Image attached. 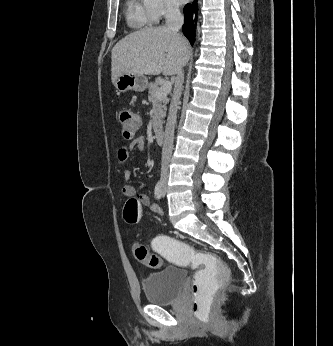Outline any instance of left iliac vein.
<instances>
[{
    "instance_id": "left-iliac-vein-1",
    "label": "left iliac vein",
    "mask_w": 333,
    "mask_h": 346,
    "mask_svg": "<svg viewBox=\"0 0 333 346\" xmlns=\"http://www.w3.org/2000/svg\"><path fill=\"white\" fill-rule=\"evenodd\" d=\"M165 193H166V186H164L163 188V195H165Z\"/></svg>"
}]
</instances>
